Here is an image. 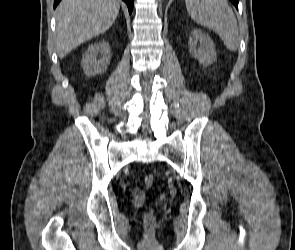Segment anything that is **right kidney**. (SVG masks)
Segmentation results:
<instances>
[{
	"label": "right kidney",
	"instance_id": "1",
	"mask_svg": "<svg viewBox=\"0 0 295 250\" xmlns=\"http://www.w3.org/2000/svg\"><path fill=\"white\" fill-rule=\"evenodd\" d=\"M102 57L97 59L98 55ZM111 60L109 43L107 41H98L90 45L83 55L81 65L86 75L94 76L103 73Z\"/></svg>",
	"mask_w": 295,
	"mask_h": 250
}]
</instances>
